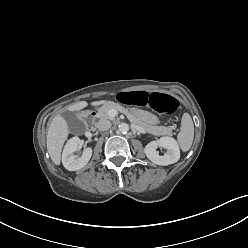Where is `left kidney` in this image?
<instances>
[{
  "label": "left kidney",
  "mask_w": 248,
  "mask_h": 248,
  "mask_svg": "<svg viewBox=\"0 0 248 248\" xmlns=\"http://www.w3.org/2000/svg\"><path fill=\"white\" fill-rule=\"evenodd\" d=\"M158 147L166 149L167 152L164 155H159L156 150ZM144 152L149 160L162 166L176 163L180 158V150L176 140L168 136L149 142L145 146Z\"/></svg>",
  "instance_id": "obj_1"
}]
</instances>
